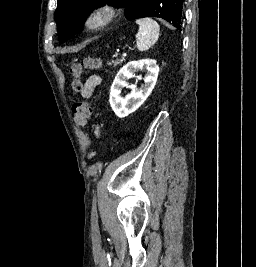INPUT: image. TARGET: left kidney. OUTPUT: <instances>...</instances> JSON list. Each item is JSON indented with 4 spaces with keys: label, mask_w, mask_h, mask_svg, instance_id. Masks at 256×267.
<instances>
[{
    "label": "left kidney",
    "mask_w": 256,
    "mask_h": 267,
    "mask_svg": "<svg viewBox=\"0 0 256 267\" xmlns=\"http://www.w3.org/2000/svg\"><path fill=\"white\" fill-rule=\"evenodd\" d=\"M140 70H147L145 78L134 76L135 72H140ZM158 74L159 66H157L156 60H135V62H128L119 70L111 86L109 100L110 106L118 118H126L142 106L146 98L150 96L157 82ZM130 78L144 80L140 90H137L136 86L127 84L126 80H130ZM122 88H131L132 92L122 98Z\"/></svg>",
    "instance_id": "1"
}]
</instances>
